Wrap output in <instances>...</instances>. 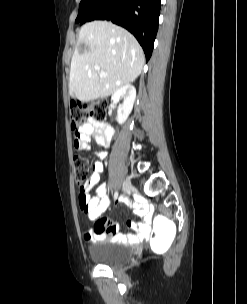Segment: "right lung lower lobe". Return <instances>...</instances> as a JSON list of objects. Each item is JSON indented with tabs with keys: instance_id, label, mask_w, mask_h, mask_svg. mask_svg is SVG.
I'll list each match as a JSON object with an SVG mask.
<instances>
[{
	"instance_id": "right-lung-lower-lobe-1",
	"label": "right lung lower lobe",
	"mask_w": 247,
	"mask_h": 304,
	"mask_svg": "<svg viewBox=\"0 0 247 304\" xmlns=\"http://www.w3.org/2000/svg\"><path fill=\"white\" fill-rule=\"evenodd\" d=\"M161 0H104L80 23L110 20L130 31L142 46L146 61L151 57L158 30Z\"/></svg>"
}]
</instances>
